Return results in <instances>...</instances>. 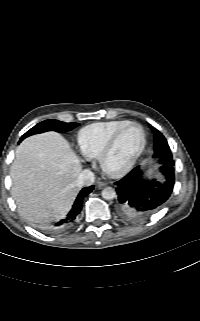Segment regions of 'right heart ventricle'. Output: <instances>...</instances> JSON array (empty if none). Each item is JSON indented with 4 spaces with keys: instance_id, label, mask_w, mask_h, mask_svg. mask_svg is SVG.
I'll list each match as a JSON object with an SVG mask.
<instances>
[{
    "instance_id": "right-heart-ventricle-1",
    "label": "right heart ventricle",
    "mask_w": 200,
    "mask_h": 321,
    "mask_svg": "<svg viewBox=\"0 0 200 321\" xmlns=\"http://www.w3.org/2000/svg\"><path fill=\"white\" fill-rule=\"evenodd\" d=\"M129 120H111L89 124L77 134L79 150L87 158H96L111 136Z\"/></svg>"
}]
</instances>
